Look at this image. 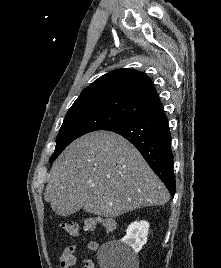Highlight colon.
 <instances>
[{
  "instance_id": "5ec220e1",
  "label": "colon",
  "mask_w": 221,
  "mask_h": 268,
  "mask_svg": "<svg viewBox=\"0 0 221 268\" xmlns=\"http://www.w3.org/2000/svg\"><path fill=\"white\" fill-rule=\"evenodd\" d=\"M98 225H101L108 231H113L117 227L115 220L106 217H90L84 221V229L87 232H93ZM63 230H65L70 236L77 237L80 234L79 225L76 223L63 222L61 224Z\"/></svg>"
}]
</instances>
